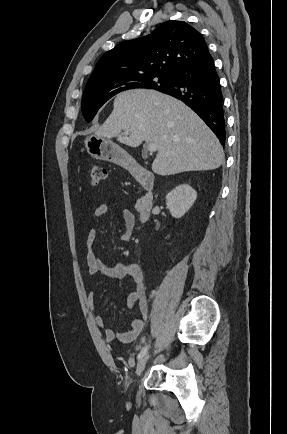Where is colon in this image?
Here are the masks:
<instances>
[{
    "mask_svg": "<svg viewBox=\"0 0 287 434\" xmlns=\"http://www.w3.org/2000/svg\"><path fill=\"white\" fill-rule=\"evenodd\" d=\"M106 168L94 165L90 168V180L91 183L96 185L99 184L101 181H103L106 177Z\"/></svg>",
    "mask_w": 287,
    "mask_h": 434,
    "instance_id": "5ec220e1",
    "label": "colon"
}]
</instances>
